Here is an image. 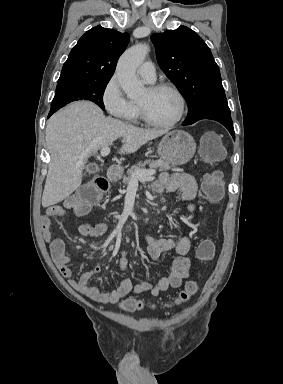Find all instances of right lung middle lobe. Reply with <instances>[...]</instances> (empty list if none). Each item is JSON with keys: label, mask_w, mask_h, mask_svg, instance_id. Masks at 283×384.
Masks as SVG:
<instances>
[{"label": "right lung middle lobe", "mask_w": 283, "mask_h": 384, "mask_svg": "<svg viewBox=\"0 0 283 384\" xmlns=\"http://www.w3.org/2000/svg\"><path fill=\"white\" fill-rule=\"evenodd\" d=\"M107 84L108 81L57 86L51 109L58 110L75 100H89L104 110L103 94Z\"/></svg>", "instance_id": "right-lung-middle-lobe-1"}]
</instances>
